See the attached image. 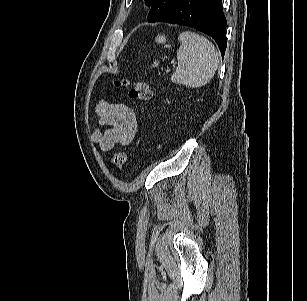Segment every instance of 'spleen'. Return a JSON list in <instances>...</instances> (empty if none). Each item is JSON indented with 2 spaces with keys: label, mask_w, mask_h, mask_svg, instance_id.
Instances as JSON below:
<instances>
[{
  "label": "spleen",
  "mask_w": 307,
  "mask_h": 301,
  "mask_svg": "<svg viewBox=\"0 0 307 301\" xmlns=\"http://www.w3.org/2000/svg\"><path fill=\"white\" fill-rule=\"evenodd\" d=\"M178 40L181 42L177 51L178 66L171 76V81L192 88L205 85L217 70V50L207 38L195 32L184 31ZM157 65L155 61L152 66Z\"/></svg>",
  "instance_id": "spleen-1"
}]
</instances>
